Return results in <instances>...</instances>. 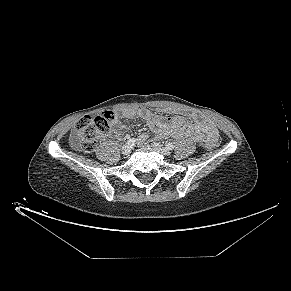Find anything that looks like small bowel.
Returning a JSON list of instances; mask_svg holds the SVG:
<instances>
[{"instance_id": "obj_1", "label": "small bowel", "mask_w": 291, "mask_h": 291, "mask_svg": "<svg viewBox=\"0 0 291 291\" xmlns=\"http://www.w3.org/2000/svg\"><path fill=\"white\" fill-rule=\"evenodd\" d=\"M165 113H173L171 108L161 109ZM128 119H142L147 123L152 132L158 137H175L180 138L183 136H190L193 139L205 142L207 138L217 132L216 128L209 121L201 119L197 115H191V117L197 121V125H189L185 122V119L181 115H172L169 117H163L143 109H131L124 113ZM126 129V126L121 124L115 130V134L119 135ZM148 138L146 133L139 136V142H144Z\"/></svg>"}]
</instances>
